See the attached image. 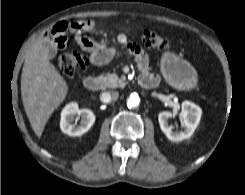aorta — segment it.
<instances>
[{"instance_id":"1","label":"aorta","mask_w":245,"mask_h":195,"mask_svg":"<svg viewBox=\"0 0 245 195\" xmlns=\"http://www.w3.org/2000/svg\"><path fill=\"white\" fill-rule=\"evenodd\" d=\"M140 99L137 93H132L128 100H127V106L129 108H135L139 105Z\"/></svg>"}]
</instances>
